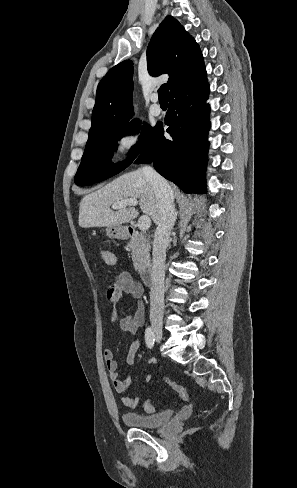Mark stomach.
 Wrapping results in <instances>:
<instances>
[{
  "label": "stomach",
  "mask_w": 297,
  "mask_h": 488,
  "mask_svg": "<svg viewBox=\"0 0 297 488\" xmlns=\"http://www.w3.org/2000/svg\"><path fill=\"white\" fill-rule=\"evenodd\" d=\"M106 234L109 238L124 240L127 238V229L123 226H108Z\"/></svg>",
  "instance_id": "stomach-1"
}]
</instances>
